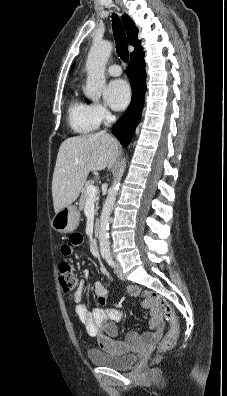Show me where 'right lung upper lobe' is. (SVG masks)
Instances as JSON below:
<instances>
[{
	"label": "right lung upper lobe",
	"instance_id": "right-lung-upper-lobe-1",
	"mask_svg": "<svg viewBox=\"0 0 227 396\" xmlns=\"http://www.w3.org/2000/svg\"><path fill=\"white\" fill-rule=\"evenodd\" d=\"M123 23H124V27L125 30L127 32V38H128V42L135 47V51H137L138 49L141 48L140 45V41L137 38L138 35V29L135 26L134 22L132 21V19L128 16V15H124L123 16ZM133 53V52H132ZM131 53V54H132Z\"/></svg>",
	"mask_w": 227,
	"mask_h": 396
}]
</instances>
